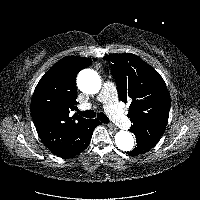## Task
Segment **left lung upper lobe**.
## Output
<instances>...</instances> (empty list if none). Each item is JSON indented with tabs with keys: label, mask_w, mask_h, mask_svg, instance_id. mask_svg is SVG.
I'll use <instances>...</instances> for the list:
<instances>
[{
	"label": "left lung upper lobe",
	"mask_w": 200,
	"mask_h": 200,
	"mask_svg": "<svg viewBox=\"0 0 200 200\" xmlns=\"http://www.w3.org/2000/svg\"><path fill=\"white\" fill-rule=\"evenodd\" d=\"M112 75L117 83L119 99L131 101L128 117L133 125L130 131L137 137L157 143L169 117L170 96L158 72L131 53L110 54Z\"/></svg>",
	"instance_id": "1"
}]
</instances>
